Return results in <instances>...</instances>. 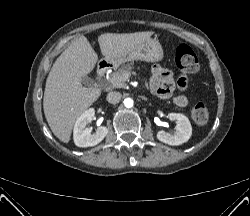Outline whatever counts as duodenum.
I'll list each match as a JSON object with an SVG mask.
<instances>
[{
    "label": "duodenum",
    "instance_id": "1",
    "mask_svg": "<svg viewBox=\"0 0 250 216\" xmlns=\"http://www.w3.org/2000/svg\"><path fill=\"white\" fill-rule=\"evenodd\" d=\"M109 69V64L106 63V62H101L98 66V70H97V73H98V76L100 78H103L106 74V72L108 71Z\"/></svg>",
    "mask_w": 250,
    "mask_h": 216
}]
</instances>
